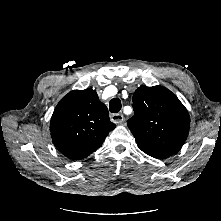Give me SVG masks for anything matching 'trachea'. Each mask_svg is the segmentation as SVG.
<instances>
[{
    "instance_id": "1",
    "label": "trachea",
    "mask_w": 221,
    "mask_h": 221,
    "mask_svg": "<svg viewBox=\"0 0 221 221\" xmlns=\"http://www.w3.org/2000/svg\"><path fill=\"white\" fill-rule=\"evenodd\" d=\"M122 104L120 99L113 98L109 103V110L111 113H118L121 110Z\"/></svg>"
}]
</instances>
